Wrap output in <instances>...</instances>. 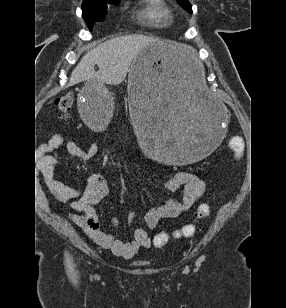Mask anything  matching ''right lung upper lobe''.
Listing matches in <instances>:
<instances>
[{"label": "right lung upper lobe", "mask_w": 286, "mask_h": 308, "mask_svg": "<svg viewBox=\"0 0 286 308\" xmlns=\"http://www.w3.org/2000/svg\"><path fill=\"white\" fill-rule=\"evenodd\" d=\"M84 1H99V0H84Z\"/></svg>", "instance_id": "right-lung-upper-lobe-1"}]
</instances>
